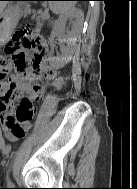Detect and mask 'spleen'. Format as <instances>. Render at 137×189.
I'll list each match as a JSON object with an SVG mask.
<instances>
[{"label":"spleen","mask_w":137,"mask_h":189,"mask_svg":"<svg viewBox=\"0 0 137 189\" xmlns=\"http://www.w3.org/2000/svg\"><path fill=\"white\" fill-rule=\"evenodd\" d=\"M73 5L74 2L70 1H49V7L54 13L62 14Z\"/></svg>","instance_id":"spleen-1"}]
</instances>
